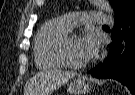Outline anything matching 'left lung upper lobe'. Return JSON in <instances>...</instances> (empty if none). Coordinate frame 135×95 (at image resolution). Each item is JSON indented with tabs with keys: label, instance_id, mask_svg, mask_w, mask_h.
<instances>
[{
	"label": "left lung upper lobe",
	"instance_id": "5c2ea615",
	"mask_svg": "<svg viewBox=\"0 0 135 95\" xmlns=\"http://www.w3.org/2000/svg\"><path fill=\"white\" fill-rule=\"evenodd\" d=\"M116 19L121 18L135 8V0H109Z\"/></svg>",
	"mask_w": 135,
	"mask_h": 95
}]
</instances>
